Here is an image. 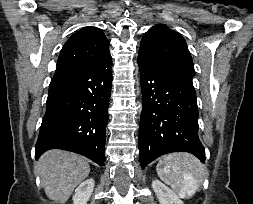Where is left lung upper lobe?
<instances>
[{"mask_svg": "<svg viewBox=\"0 0 253 204\" xmlns=\"http://www.w3.org/2000/svg\"><path fill=\"white\" fill-rule=\"evenodd\" d=\"M138 55L188 79L192 80L195 75L192 57L184 38L165 25H155L145 33Z\"/></svg>", "mask_w": 253, "mask_h": 204, "instance_id": "5c2ea615", "label": "left lung upper lobe"}]
</instances>
